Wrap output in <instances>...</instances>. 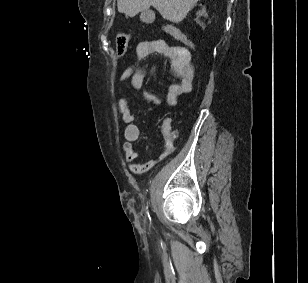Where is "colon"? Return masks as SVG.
Wrapping results in <instances>:
<instances>
[{
  "mask_svg": "<svg viewBox=\"0 0 308 283\" xmlns=\"http://www.w3.org/2000/svg\"><path fill=\"white\" fill-rule=\"evenodd\" d=\"M165 32L170 34L172 37L177 39L178 41L182 42L188 51L195 52V46L194 44L182 33L177 31L176 29L170 28V27H163L162 28ZM131 40V34L130 33H120L118 34L116 38V50L118 56H123L128 48V45ZM171 134L174 136V133L171 132Z\"/></svg>",
  "mask_w": 308,
  "mask_h": 283,
  "instance_id": "1",
  "label": "colon"
}]
</instances>
